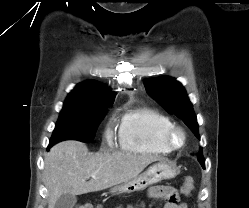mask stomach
Listing matches in <instances>:
<instances>
[{"label":"stomach","mask_w":249,"mask_h":208,"mask_svg":"<svg viewBox=\"0 0 249 208\" xmlns=\"http://www.w3.org/2000/svg\"><path fill=\"white\" fill-rule=\"evenodd\" d=\"M176 175L177 169L164 161H160L150 166L145 172L138 175L136 178L112 188L111 193L113 195H120L142 191L162 180L174 178Z\"/></svg>","instance_id":"1"}]
</instances>
